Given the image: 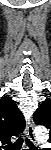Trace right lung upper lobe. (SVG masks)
<instances>
[{
  "instance_id": "1",
  "label": "right lung upper lobe",
  "mask_w": 51,
  "mask_h": 150,
  "mask_svg": "<svg viewBox=\"0 0 51 150\" xmlns=\"http://www.w3.org/2000/svg\"><path fill=\"white\" fill-rule=\"evenodd\" d=\"M25 121L23 114L10 98L0 99V142L10 144V138L23 132Z\"/></svg>"
}]
</instances>
